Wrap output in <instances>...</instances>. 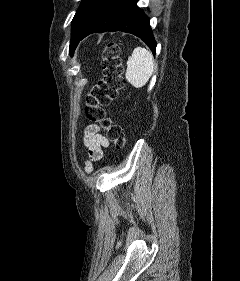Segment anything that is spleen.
Returning <instances> with one entry per match:
<instances>
[{
  "label": "spleen",
  "instance_id": "obj_1",
  "mask_svg": "<svg viewBox=\"0 0 240 281\" xmlns=\"http://www.w3.org/2000/svg\"><path fill=\"white\" fill-rule=\"evenodd\" d=\"M154 71L153 55L143 47H136L128 57L126 80L135 88L143 87Z\"/></svg>",
  "mask_w": 240,
  "mask_h": 281
}]
</instances>
